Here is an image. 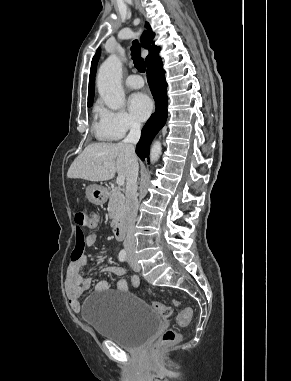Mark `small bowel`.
Segmentation results:
<instances>
[{
    "instance_id": "1",
    "label": "small bowel",
    "mask_w": 291,
    "mask_h": 381,
    "mask_svg": "<svg viewBox=\"0 0 291 381\" xmlns=\"http://www.w3.org/2000/svg\"><path fill=\"white\" fill-rule=\"evenodd\" d=\"M97 242V235L91 234L89 235L86 240L85 244L87 246H94ZM80 240L78 239V244L75 248V250L72 253L71 262L68 266L67 273H66V279H65V291L68 298V303L70 305V308L74 312H79L81 309V303L79 301L80 296L82 295L83 291L85 289H88L91 286V280L89 279H83L79 275V268L80 266L87 263V258L82 253L80 255H77V252L80 249ZM108 271L116 276H123L125 274L124 268L121 266L113 265L108 267ZM131 285L134 288H138L140 285V279L137 275L131 276ZM111 288V285L109 282L102 280L99 281L96 286L95 290L97 292H102L109 290ZM114 288L118 291H127L128 290V284L125 280L120 279L114 283Z\"/></svg>"
}]
</instances>
